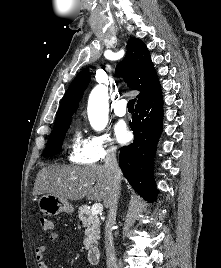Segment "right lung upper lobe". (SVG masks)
I'll return each instance as SVG.
<instances>
[{
    "label": "right lung upper lobe",
    "instance_id": "right-lung-upper-lobe-1",
    "mask_svg": "<svg viewBox=\"0 0 221 268\" xmlns=\"http://www.w3.org/2000/svg\"><path fill=\"white\" fill-rule=\"evenodd\" d=\"M116 73L119 76L127 75V85L140 91L137 103L146 101L161 91L149 51L140 39L130 38L128 40L127 54L124 60L118 64ZM90 78L91 73L88 69H83L76 76L61 100L55 125L71 120Z\"/></svg>",
    "mask_w": 221,
    "mask_h": 268
}]
</instances>
